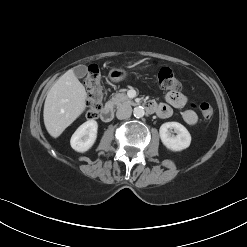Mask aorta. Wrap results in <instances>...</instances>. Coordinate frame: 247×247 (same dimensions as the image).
Returning <instances> with one entry per match:
<instances>
[{
  "label": "aorta",
  "mask_w": 247,
  "mask_h": 247,
  "mask_svg": "<svg viewBox=\"0 0 247 247\" xmlns=\"http://www.w3.org/2000/svg\"><path fill=\"white\" fill-rule=\"evenodd\" d=\"M144 113H145L144 108L141 107V106H137V107H135L134 110H133V114H134V116H135L136 118H141V117H143V116H144Z\"/></svg>",
  "instance_id": "1"
}]
</instances>
